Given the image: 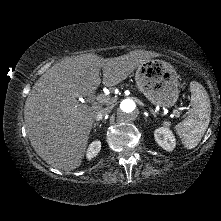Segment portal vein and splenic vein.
Wrapping results in <instances>:
<instances>
[{
  "label": "portal vein and splenic vein",
  "mask_w": 221,
  "mask_h": 221,
  "mask_svg": "<svg viewBox=\"0 0 221 221\" xmlns=\"http://www.w3.org/2000/svg\"><path fill=\"white\" fill-rule=\"evenodd\" d=\"M97 102L100 104V103H107L109 101V98L107 95L105 94H100L97 96L96 98ZM173 113L176 115V116H180V112L176 109L173 110Z\"/></svg>",
  "instance_id": "18ae733b"
}]
</instances>
